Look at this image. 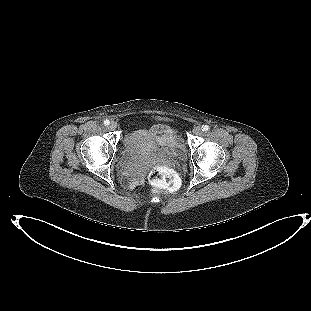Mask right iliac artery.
<instances>
[{"label":"right iliac artery","mask_w":311,"mask_h":311,"mask_svg":"<svg viewBox=\"0 0 311 311\" xmlns=\"http://www.w3.org/2000/svg\"><path fill=\"white\" fill-rule=\"evenodd\" d=\"M110 124V121L108 119L104 120V125L108 126Z\"/></svg>","instance_id":"obj_1"}]
</instances>
